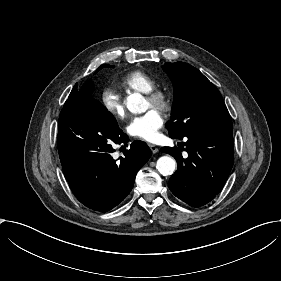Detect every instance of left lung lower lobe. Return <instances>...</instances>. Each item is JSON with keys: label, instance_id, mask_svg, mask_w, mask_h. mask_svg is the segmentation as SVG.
<instances>
[{"label": "left lung lower lobe", "instance_id": "1", "mask_svg": "<svg viewBox=\"0 0 281 281\" xmlns=\"http://www.w3.org/2000/svg\"><path fill=\"white\" fill-rule=\"evenodd\" d=\"M184 159L177 147H163L177 161V171L168 186L180 200L193 207L210 202L223 188L234 161L233 129H217L187 134ZM183 138V137H182ZM180 138V139H182Z\"/></svg>", "mask_w": 281, "mask_h": 281}]
</instances>
